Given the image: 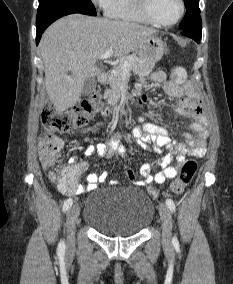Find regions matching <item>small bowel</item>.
<instances>
[{"label":"small bowel","mask_w":233,"mask_h":284,"mask_svg":"<svg viewBox=\"0 0 233 284\" xmlns=\"http://www.w3.org/2000/svg\"><path fill=\"white\" fill-rule=\"evenodd\" d=\"M154 83L161 85L165 93L178 100L177 112L180 115L188 116L193 119L192 129L194 133H186V143H176L172 140L169 132L154 123L147 122L145 117L140 120L143 123L141 127H135L132 130V136L145 144H152L156 148L168 151L165 158V166L157 173H153V167L150 163H144L140 166V174L143 180L137 181L135 173L128 170L127 174L130 180L135 184L144 186L150 183L161 184L167 179L174 178L180 167L184 164L187 157L202 158L206 154V143L209 135L207 121L203 114L200 97L194 87L189 84H180L168 80L167 75L162 70H157L152 74ZM143 87L145 85L143 84ZM147 100L146 96L142 97V102ZM126 148L121 141V135L115 134L107 137L103 142L96 145H89L85 149V157L90 158L97 156L99 158L110 159L118 154L124 156ZM123 162L119 161L118 166H122ZM47 170L49 178L59 184L60 177L66 174H75L80 177L89 167L87 160H80L76 157L70 158L69 164L54 168L42 163ZM106 171L100 173H91L87 176L88 184L86 187L78 186L73 194H80L84 191H92L97 188L99 183L107 180Z\"/></svg>","instance_id":"1"}]
</instances>
